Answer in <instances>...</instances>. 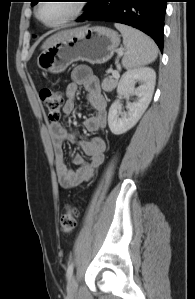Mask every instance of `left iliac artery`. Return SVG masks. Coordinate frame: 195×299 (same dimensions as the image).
Listing matches in <instances>:
<instances>
[{"label": "left iliac artery", "mask_w": 195, "mask_h": 299, "mask_svg": "<svg viewBox=\"0 0 195 299\" xmlns=\"http://www.w3.org/2000/svg\"><path fill=\"white\" fill-rule=\"evenodd\" d=\"M73 268H74V263L71 262L68 266L67 273H66L68 279L72 276Z\"/></svg>", "instance_id": "44dca946"}]
</instances>
